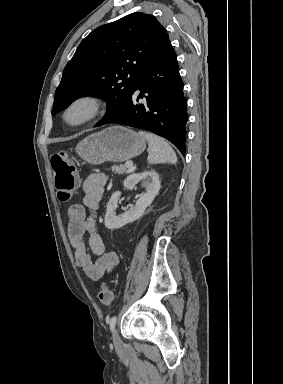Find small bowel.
Returning a JSON list of instances; mask_svg holds the SVG:
<instances>
[{"label": "small bowel", "mask_w": 283, "mask_h": 384, "mask_svg": "<svg viewBox=\"0 0 283 384\" xmlns=\"http://www.w3.org/2000/svg\"><path fill=\"white\" fill-rule=\"evenodd\" d=\"M108 177L103 173L90 174L82 184L85 193L83 204H75L68 211V237L76 264L93 282L112 271L119 263V256L108 251L96 231L95 213L99 208ZM87 236V242L84 239ZM91 254L98 256L94 261Z\"/></svg>", "instance_id": "obj_1"}]
</instances>
